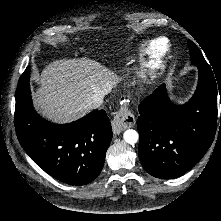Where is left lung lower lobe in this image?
<instances>
[{
    "mask_svg": "<svg viewBox=\"0 0 221 221\" xmlns=\"http://www.w3.org/2000/svg\"><path fill=\"white\" fill-rule=\"evenodd\" d=\"M198 72L197 89L184 105L171 103L163 84L138 107L139 159L154 177L182 176L195 166L213 142L219 122L220 81L211 68L199 66Z\"/></svg>",
    "mask_w": 221,
    "mask_h": 221,
    "instance_id": "1",
    "label": "left lung lower lobe"
}]
</instances>
